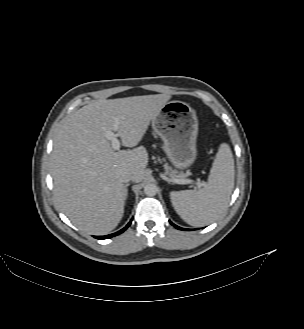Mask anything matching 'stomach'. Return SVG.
I'll list each match as a JSON object with an SVG mask.
<instances>
[{
  "mask_svg": "<svg viewBox=\"0 0 304 329\" xmlns=\"http://www.w3.org/2000/svg\"><path fill=\"white\" fill-rule=\"evenodd\" d=\"M152 127L163 140V150L174 167L184 170L194 163L198 119L189 104L167 102L152 120Z\"/></svg>",
  "mask_w": 304,
  "mask_h": 329,
  "instance_id": "0dacf381",
  "label": "stomach"
}]
</instances>
